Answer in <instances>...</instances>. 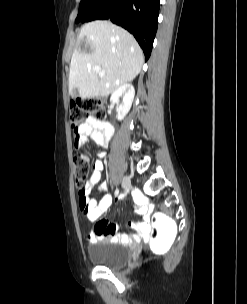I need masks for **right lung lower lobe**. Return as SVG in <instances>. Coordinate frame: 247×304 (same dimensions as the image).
<instances>
[{"instance_id":"98d812e1","label":"right lung lower lobe","mask_w":247,"mask_h":304,"mask_svg":"<svg viewBox=\"0 0 247 304\" xmlns=\"http://www.w3.org/2000/svg\"><path fill=\"white\" fill-rule=\"evenodd\" d=\"M160 0H104L82 22L111 20L134 35L145 54H151L157 31Z\"/></svg>"}]
</instances>
